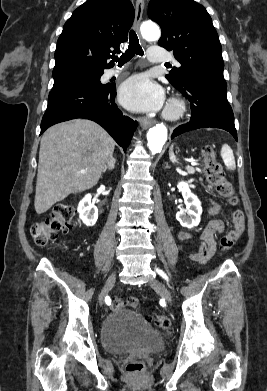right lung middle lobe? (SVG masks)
<instances>
[{
  "label": "right lung middle lobe",
  "mask_w": 267,
  "mask_h": 391,
  "mask_svg": "<svg viewBox=\"0 0 267 391\" xmlns=\"http://www.w3.org/2000/svg\"><path fill=\"white\" fill-rule=\"evenodd\" d=\"M102 72L74 73L54 77L53 89L76 84L102 85L100 75Z\"/></svg>",
  "instance_id": "right-lung-middle-lobe-1"
}]
</instances>
